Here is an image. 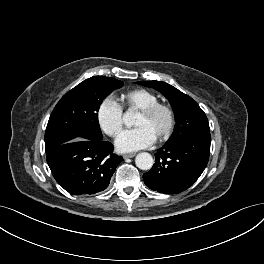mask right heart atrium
<instances>
[{"mask_svg":"<svg viewBox=\"0 0 264 264\" xmlns=\"http://www.w3.org/2000/svg\"><path fill=\"white\" fill-rule=\"evenodd\" d=\"M97 121L107 135L116 138L123 129V109L112 97L105 98L98 106Z\"/></svg>","mask_w":264,"mask_h":264,"instance_id":"obj_1","label":"right heart atrium"}]
</instances>
